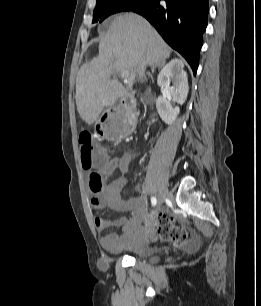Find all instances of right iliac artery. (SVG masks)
<instances>
[{
    "mask_svg": "<svg viewBox=\"0 0 261 306\" xmlns=\"http://www.w3.org/2000/svg\"><path fill=\"white\" fill-rule=\"evenodd\" d=\"M151 203L153 206H155L157 204V200L155 197H151Z\"/></svg>",
    "mask_w": 261,
    "mask_h": 306,
    "instance_id": "obj_1",
    "label": "right iliac artery"
}]
</instances>
